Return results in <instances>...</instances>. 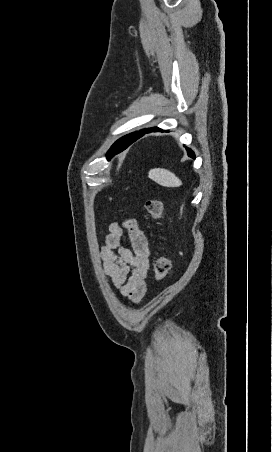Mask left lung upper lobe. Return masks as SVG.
Instances as JSON below:
<instances>
[{
	"label": "left lung upper lobe",
	"instance_id": "1",
	"mask_svg": "<svg viewBox=\"0 0 272 452\" xmlns=\"http://www.w3.org/2000/svg\"><path fill=\"white\" fill-rule=\"evenodd\" d=\"M138 132H134V133H131V134H129V135H126V136H124V139H123V141H121V146L122 147H124L126 144H127V142H128V140H130L135 134H137ZM127 146H125L124 148H126ZM108 154H109V151H108V153H107V156H108Z\"/></svg>",
	"mask_w": 272,
	"mask_h": 452
}]
</instances>
